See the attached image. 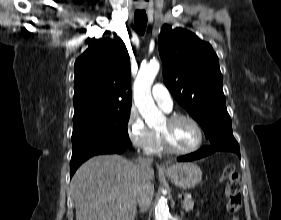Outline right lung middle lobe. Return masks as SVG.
<instances>
[{
  "label": "right lung middle lobe",
  "instance_id": "1",
  "mask_svg": "<svg viewBox=\"0 0 281 220\" xmlns=\"http://www.w3.org/2000/svg\"><path fill=\"white\" fill-rule=\"evenodd\" d=\"M130 109L91 114L73 119V152L87 147L132 146L127 124Z\"/></svg>",
  "mask_w": 281,
  "mask_h": 220
}]
</instances>
